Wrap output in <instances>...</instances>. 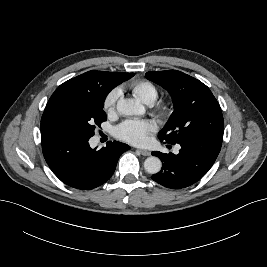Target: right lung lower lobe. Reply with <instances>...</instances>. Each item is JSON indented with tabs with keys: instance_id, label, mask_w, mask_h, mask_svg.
<instances>
[{
	"instance_id": "right-lung-lower-lobe-1",
	"label": "right lung lower lobe",
	"mask_w": 267,
	"mask_h": 267,
	"mask_svg": "<svg viewBox=\"0 0 267 267\" xmlns=\"http://www.w3.org/2000/svg\"><path fill=\"white\" fill-rule=\"evenodd\" d=\"M89 139L41 127L42 151L50 169L63 183L80 190L96 188L109 180L121 154L130 149L114 141L96 150L90 148Z\"/></svg>"
}]
</instances>
